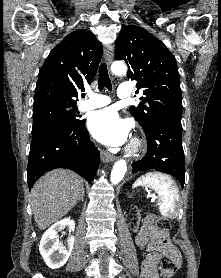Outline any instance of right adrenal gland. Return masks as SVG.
I'll return each instance as SVG.
<instances>
[{"label":"right adrenal gland","mask_w":221,"mask_h":278,"mask_svg":"<svg viewBox=\"0 0 221 278\" xmlns=\"http://www.w3.org/2000/svg\"><path fill=\"white\" fill-rule=\"evenodd\" d=\"M84 196H85V191L83 190V193H82V195H81V197H80V199H79V200L83 201Z\"/></svg>","instance_id":"2a0ac1e0"}]
</instances>
